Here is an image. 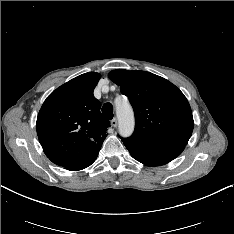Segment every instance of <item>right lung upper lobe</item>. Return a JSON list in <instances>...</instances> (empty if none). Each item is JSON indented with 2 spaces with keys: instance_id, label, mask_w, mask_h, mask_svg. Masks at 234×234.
<instances>
[{
  "instance_id": "obj_1",
  "label": "right lung upper lobe",
  "mask_w": 234,
  "mask_h": 234,
  "mask_svg": "<svg viewBox=\"0 0 234 234\" xmlns=\"http://www.w3.org/2000/svg\"><path fill=\"white\" fill-rule=\"evenodd\" d=\"M100 77L95 72L82 74L58 87L44 101L36 129L53 163L69 168L99 152L110 127L93 95Z\"/></svg>"
}]
</instances>
